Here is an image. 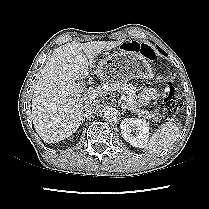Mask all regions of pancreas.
Masks as SVG:
<instances>
[{
	"label": "pancreas",
	"instance_id": "pancreas-1",
	"mask_svg": "<svg viewBox=\"0 0 209 209\" xmlns=\"http://www.w3.org/2000/svg\"><path fill=\"white\" fill-rule=\"evenodd\" d=\"M107 87L112 91H119L127 95V107L129 110L135 112L138 116L159 121L161 116L158 113L148 110L140 109L136 102V88L132 84L126 82L111 81L107 84Z\"/></svg>",
	"mask_w": 209,
	"mask_h": 209
}]
</instances>
